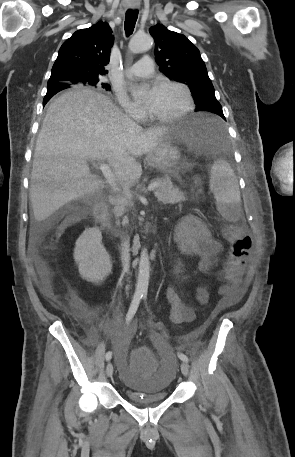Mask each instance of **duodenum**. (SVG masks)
I'll return each mask as SVG.
<instances>
[{
	"mask_svg": "<svg viewBox=\"0 0 295 457\" xmlns=\"http://www.w3.org/2000/svg\"><path fill=\"white\" fill-rule=\"evenodd\" d=\"M92 215L100 229L109 233L110 224L108 221L107 204L104 200L95 202L92 208Z\"/></svg>",
	"mask_w": 295,
	"mask_h": 457,
	"instance_id": "duodenum-1",
	"label": "duodenum"
}]
</instances>
